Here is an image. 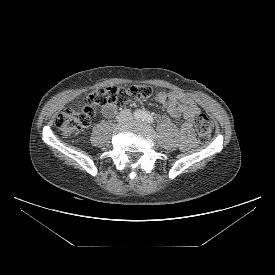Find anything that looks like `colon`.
I'll return each mask as SVG.
<instances>
[{
  "label": "colon",
  "instance_id": "colon-1",
  "mask_svg": "<svg viewBox=\"0 0 275 275\" xmlns=\"http://www.w3.org/2000/svg\"><path fill=\"white\" fill-rule=\"evenodd\" d=\"M154 95L155 91L150 86L99 88L86 97L84 107L80 111L69 108L59 113L55 118V126L64 137H72L81 129L89 126L97 107L108 104L123 106L151 98ZM195 126L200 142H207L212 129L209 118L200 114L196 119Z\"/></svg>",
  "mask_w": 275,
  "mask_h": 275
}]
</instances>
